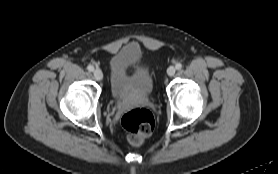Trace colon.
Instances as JSON below:
<instances>
[{
  "instance_id": "5ec220e1",
  "label": "colon",
  "mask_w": 278,
  "mask_h": 174,
  "mask_svg": "<svg viewBox=\"0 0 278 174\" xmlns=\"http://www.w3.org/2000/svg\"><path fill=\"white\" fill-rule=\"evenodd\" d=\"M121 124L127 131L130 141L139 145L152 133L155 121L148 109L137 107L124 114Z\"/></svg>"
}]
</instances>
